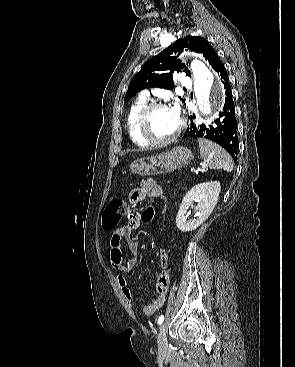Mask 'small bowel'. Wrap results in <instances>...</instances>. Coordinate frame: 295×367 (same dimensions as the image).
I'll return each instance as SVG.
<instances>
[{"mask_svg": "<svg viewBox=\"0 0 295 367\" xmlns=\"http://www.w3.org/2000/svg\"><path fill=\"white\" fill-rule=\"evenodd\" d=\"M158 195H163V190L160 185L153 179H145L142 181L140 187L130 193V202L137 204L147 197L154 199ZM138 213V208H130L127 224L116 228L110 239V263L119 273H129L133 270L137 262L139 244L133 238L132 232L141 222V217ZM123 242L128 249L127 256L123 254ZM158 260L160 264V274L157 281L158 295L152 303L140 307L141 313L146 316L154 314L162 307L170 282L169 257L162 248L159 249ZM117 282L127 302L134 304V297L128 287L126 278L122 274H118Z\"/></svg>", "mask_w": 295, "mask_h": 367, "instance_id": "obj_1", "label": "small bowel"}]
</instances>
